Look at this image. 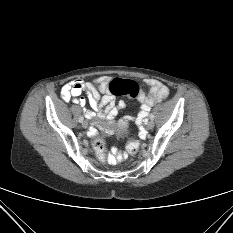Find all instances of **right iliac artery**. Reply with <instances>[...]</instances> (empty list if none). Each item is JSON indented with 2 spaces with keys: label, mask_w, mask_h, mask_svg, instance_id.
<instances>
[{
  "label": "right iliac artery",
  "mask_w": 233,
  "mask_h": 233,
  "mask_svg": "<svg viewBox=\"0 0 233 233\" xmlns=\"http://www.w3.org/2000/svg\"><path fill=\"white\" fill-rule=\"evenodd\" d=\"M83 120H84L83 116H80L79 117V122H83Z\"/></svg>",
  "instance_id": "82829eb1"
}]
</instances>
